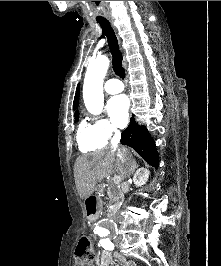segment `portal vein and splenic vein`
<instances>
[{
	"mask_svg": "<svg viewBox=\"0 0 221 266\" xmlns=\"http://www.w3.org/2000/svg\"><path fill=\"white\" fill-rule=\"evenodd\" d=\"M120 182H121V177L118 176V175H115V176L113 177V183H114V184H119Z\"/></svg>",
	"mask_w": 221,
	"mask_h": 266,
	"instance_id": "1",
	"label": "portal vein and splenic vein"
}]
</instances>
